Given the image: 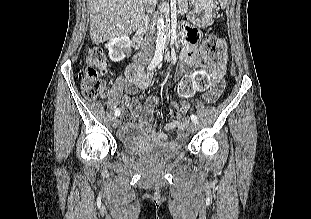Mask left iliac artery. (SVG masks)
<instances>
[{
  "instance_id": "obj_1",
  "label": "left iliac artery",
  "mask_w": 311,
  "mask_h": 219,
  "mask_svg": "<svg viewBox=\"0 0 311 219\" xmlns=\"http://www.w3.org/2000/svg\"><path fill=\"white\" fill-rule=\"evenodd\" d=\"M191 120H192V122H194V123H197V122H198L197 116L194 115V114L191 115Z\"/></svg>"
}]
</instances>
